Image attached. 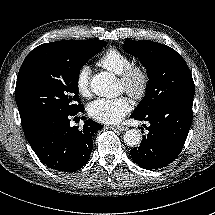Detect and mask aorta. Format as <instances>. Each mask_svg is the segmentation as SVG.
I'll list each match as a JSON object with an SVG mask.
<instances>
[{
    "instance_id": "obj_1",
    "label": "aorta",
    "mask_w": 215,
    "mask_h": 215,
    "mask_svg": "<svg viewBox=\"0 0 215 215\" xmlns=\"http://www.w3.org/2000/svg\"><path fill=\"white\" fill-rule=\"evenodd\" d=\"M113 76L106 72L95 74L90 80V91L97 96H108L112 91ZM124 143L129 147H137L142 141V134L136 129L127 130L123 135Z\"/></svg>"
}]
</instances>
